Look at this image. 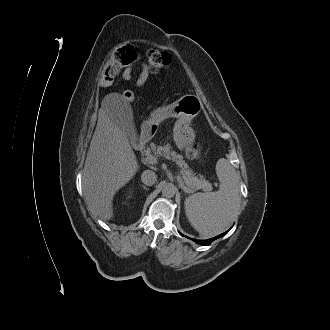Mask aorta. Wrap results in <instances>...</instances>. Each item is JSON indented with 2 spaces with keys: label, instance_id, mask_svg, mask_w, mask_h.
Listing matches in <instances>:
<instances>
[{
  "label": "aorta",
  "instance_id": "1",
  "mask_svg": "<svg viewBox=\"0 0 330 330\" xmlns=\"http://www.w3.org/2000/svg\"><path fill=\"white\" fill-rule=\"evenodd\" d=\"M161 192L164 197L171 198L176 194L177 188L173 183H164Z\"/></svg>",
  "mask_w": 330,
  "mask_h": 330
}]
</instances>
